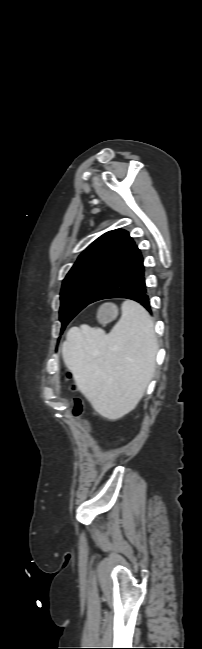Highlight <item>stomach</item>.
<instances>
[{"mask_svg": "<svg viewBox=\"0 0 202 649\" xmlns=\"http://www.w3.org/2000/svg\"><path fill=\"white\" fill-rule=\"evenodd\" d=\"M117 315H118L117 306L114 305V304H111V303H107V304H104L99 309L98 320H99L100 323L105 324V323L113 320L114 318H116Z\"/></svg>", "mask_w": 202, "mask_h": 649, "instance_id": "obj_1", "label": "stomach"}]
</instances>
